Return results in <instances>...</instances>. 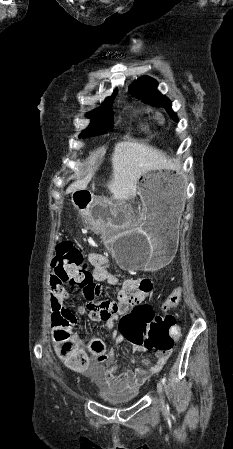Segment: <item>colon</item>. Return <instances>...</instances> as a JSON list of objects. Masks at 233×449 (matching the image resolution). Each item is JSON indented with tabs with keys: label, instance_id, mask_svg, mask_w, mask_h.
Returning a JSON list of instances; mask_svg holds the SVG:
<instances>
[{
	"label": "colon",
	"instance_id": "1",
	"mask_svg": "<svg viewBox=\"0 0 233 449\" xmlns=\"http://www.w3.org/2000/svg\"><path fill=\"white\" fill-rule=\"evenodd\" d=\"M54 262L64 277L67 270L73 269V277L64 278L70 290L79 289L78 292L84 295L88 302H96V299L91 296L96 285L90 279L88 265L78 248L68 241H59ZM184 289L183 284L174 286V290L162 304V315H155L154 310H151L147 304L136 302L135 310H130L129 314H122L120 317V338H126L127 343H136L137 349L169 353L175 341L180 338V329L176 325L174 316L168 311L178 305ZM75 322V314L68 310L56 311L52 315L53 337L59 343V356L71 367L81 369L85 362L82 356L75 352L70 341V328ZM92 349L101 358L105 356V346L102 342H95Z\"/></svg>",
	"mask_w": 233,
	"mask_h": 449
}]
</instances>
